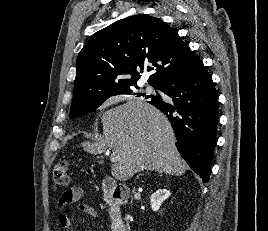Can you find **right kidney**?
<instances>
[{"label": "right kidney", "mask_w": 268, "mask_h": 231, "mask_svg": "<svg viewBox=\"0 0 268 231\" xmlns=\"http://www.w3.org/2000/svg\"><path fill=\"white\" fill-rule=\"evenodd\" d=\"M171 192L167 189H158L150 197V205L153 211H158L162 203L169 198Z\"/></svg>", "instance_id": "1"}]
</instances>
